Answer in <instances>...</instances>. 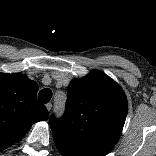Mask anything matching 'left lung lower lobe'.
<instances>
[{
	"label": "left lung lower lobe",
	"mask_w": 156,
	"mask_h": 156,
	"mask_svg": "<svg viewBox=\"0 0 156 156\" xmlns=\"http://www.w3.org/2000/svg\"><path fill=\"white\" fill-rule=\"evenodd\" d=\"M54 141L63 156H92L89 153H86L84 151L75 149L74 147L67 145L66 143L62 142L57 138H54Z\"/></svg>",
	"instance_id": "left-lung-lower-lobe-1"
}]
</instances>
